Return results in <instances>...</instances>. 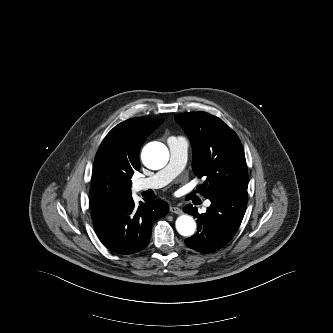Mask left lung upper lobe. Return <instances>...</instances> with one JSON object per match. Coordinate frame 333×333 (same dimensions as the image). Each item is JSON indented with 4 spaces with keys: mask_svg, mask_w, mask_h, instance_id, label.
Returning a JSON list of instances; mask_svg holds the SVG:
<instances>
[{
    "mask_svg": "<svg viewBox=\"0 0 333 333\" xmlns=\"http://www.w3.org/2000/svg\"><path fill=\"white\" fill-rule=\"evenodd\" d=\"M192 144V170L206 177L199 191L205 198L219 193L246 191L248 172L237 135L218 117L206 112L175 116Z\"/></svg>",
    "mask_w": 333,
    "mask_h": 333,
    "instance_id": "left-lung-upper-lobe-1",
    "label": "left lung upper lobe"
}]
</instances>
